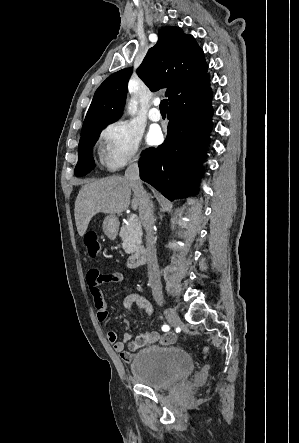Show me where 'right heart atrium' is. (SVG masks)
Here are the masks:
<instances>
[{
	"mask_svg": "<svg viewBox=\"0 0 299 443\" xmlns=\"http://www.w3.org/2000/svg\"><path fill=\"white\" fill-rule=\"evenodd\" d=\"M100 145L104 164L118 169L140 158L141 133L127 121L107 125L100 133Z\"/></svg>",
	"mask_w": 299,
	"mask_h": 443,
	"instance_id": "obj_1",
	"label": "right heart atrium"
}]
</instances>
